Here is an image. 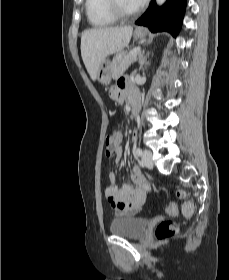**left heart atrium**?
Here are the masks:
<instances>
[{
    "label": "left heart atrium",
    "instance_id": "obj_1",
    "mask_svg": "<svg viewBox=\"0 0 229 280\" xmlns=\"http://www.w3.org/2000/svg\"><path fill=\"white\" fill-rule=\"evenodd\" d=\"M131 3L136 7V8H140L142 6L145 5V3L148 1V0H130Z\"/></svg>",
    "mask_w": 229,
    "mask_h": 280
}]
</instances>
